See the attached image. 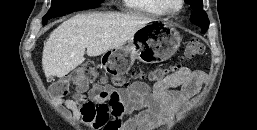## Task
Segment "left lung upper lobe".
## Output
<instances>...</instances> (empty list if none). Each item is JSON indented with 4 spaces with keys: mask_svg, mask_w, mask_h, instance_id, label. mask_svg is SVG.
I'll use <instances>...</instances> for the list:
<instances>
[{
    "mask_svg": "<svg viewBox=\"0 0 257 130\" xmlns=\"http://www.w3.org/2000/svg\"><path fill=\"white\" fill-rule=\"evenodd\" d=\"M193 9L190 21L202 28V33H205L209 27L207 14L203 10V0H186Z\"/></svg>",
    "mask_w": 257,
    "mask_h": 130,
    "instance_id": "1",
    "label": "left lung upper lobe"
}]
</instances>
